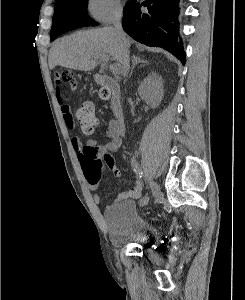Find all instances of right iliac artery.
<instances>
[{
  "label": "right iliac artery",
  "instance_id": "82829eb1",
  "mask_svg": "<svg viewBox=\"0 0 245 300\" xmlns=\"http://www.w3.org/2000/svg\"><path fill=\"white\" fill-rule=\"evenodd\" d=\"M131 165L133 167L134 172L136 174H138L139 177L141 178L142 177V172L139 169L138 163L136 162V160L134 158H132V160H131ZM149 202H150V197L149 196H143V199L140 202V205L145 206V205H148Z\"/></svg>",
  "mask_w": 245,
  "mask_h": 300
}]
</instances>
